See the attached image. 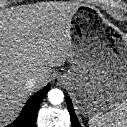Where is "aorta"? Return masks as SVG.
I'll use <instances>...</instances> for the list:
<instances>
[{
    "instance_id": "1",
    "label": "aorta",
    "mask_w": 127,
    "mask_h": 127,
    "mask_svg": "<svg viewBox=\"0 0 127 127\" xmlns=\"http://www.w3.org/2000/svg\"><path fill=\"white\" fill-rule=\"evenodd\" d=\"M48 99L51 104L59 105L63 102L64 94L60 89L55 88L48 92Z\"/></svg>"
}]
</instances>
